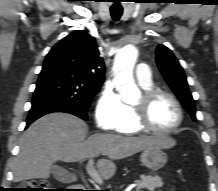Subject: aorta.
<instances>
[{
  "instance_id": "1",
  "label": "aorta",
  "mask_w": 218,
  "mask_h": 191,
  "mask_svg": "<svg viewBox=\"0 0 218 191\" xmlns=\"http://www.w3.org/2000/svg\"><path fill=\"white\" fill-rule=\"evenodd\" d=\"M138 51L133 45H126L115 56L114 83L122 98L127 104H132L140 97V90L133 78V69Z\"/></svg>"
}]
</instances>
